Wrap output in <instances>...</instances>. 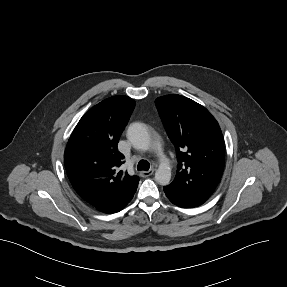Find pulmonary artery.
Wrapping results in <instances>:
<instances>
[{"label":"pulmonary artery","instance_id":"e3ab8cb5","mask_svg":"<svg viewBox=\"0 0 287 287\" xmlns=\"http://www.w3.org/2000/svg\"><path fill=\"white\" fill-rule=\"evenodd\" d=\"M155 147L160 150L161 149V140L159 138H156L155 142Z\"/></svg>","mask_w":287,"mask_h":287}]
</instances>
